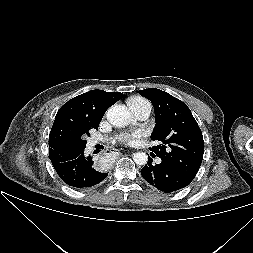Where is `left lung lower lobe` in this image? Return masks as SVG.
Masks as SVG:
<instances>
[{"instance_id": "0a47b994", "label": "left lung lower lobe", "mask_w": 253, "mask_h": 253, "mask_svg": "<svg viewBox=\"0 0 253 253\" xmlns=\"http://www.w3.org/2000/svg\"><path fill=\"white\" fill-rule=\"evenodd\" d=\"M149 157L147 164L141 169L143 178L152 186L165 193H171L189 185L193 178L179 170L169 162L152 165Z\"/></svg>"}]
</instances>
